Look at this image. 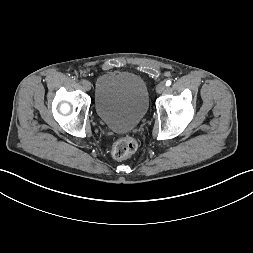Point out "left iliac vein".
<instances>
[{
	"label": "left iliac vein",
	"mask_w": 253,
	"mask_h": 253,
	"mask_svg": "<svg viewBox=\"0 0 253 253\" xmlns=\"http://www.w3.org/2000/svg\"><path fill=\"white\" fill-rule=\"evenodd\" d=\"M166 88H167L166 84L164 82H160L156 87V92L158 94H161L166 90Z\"/></svg>",
	"instance_id": "1"
}]
</instances>
